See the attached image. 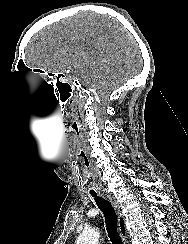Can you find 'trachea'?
<instances>
[{"label": "trachea", "mask_w": 188, "mask_h": 244, "mask_svg": "<svg viewBox=\"0 0 188 244\" xmlns=\"http://www.w3.org/2000/svg\"><path fill=\"white\" fill-rule=\"evenodd\" d=\"M88 187L92 188L93 184L89 183ZM90 195L95 199L98 208L104 214L107 233L112 244H123L122 239L118 233L117 215L114 207L108 200L97 196L96 192L90 191Z\"/></svg>", "instance_id": "1"}]
</instances>
